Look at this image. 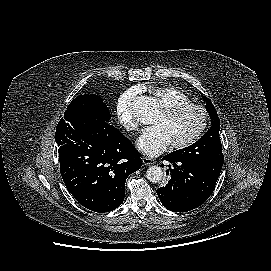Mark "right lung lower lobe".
<instances>
[{
  "instance_id": "1",
  "label": "right lung lower lobe",
  "mask_w": 271,
  "mask_h": 271,
  "mask_svg": "<svg viewBox=\"0 0 271 271\" xmlns=\"http://www.w3.org/2000/svg\"><path fill=\"white\" fill-rule=\"evenodd\" d=\"M60 172L68 191L99 213L122 204L127 177L141 165L140 153L108 122L66 121L56 127Z\"/></svg>"
}]
</instances>
